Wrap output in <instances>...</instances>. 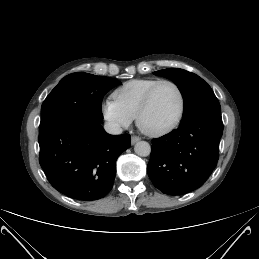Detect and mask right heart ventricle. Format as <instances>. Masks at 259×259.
Here are the masks:
<instances>
[{
  "mask_svg": "<svg viewBox=\"0 0 259 259\" xmlns=\"http://www.w3.org/2000/svg\"><path fill=\"white\" fill-rule=\"evenodd\" d=\"M157 81H159L157 78H140L130 80L114 91V100L120 108L133 119L136 117L147 91Z\"/></svg>",
  "mask_w": 259,
  "mask_h": 259,
  "instance_id": "right-heart-ventricle-1",
  "label": "right heart ventricle"
}]
</instances>
